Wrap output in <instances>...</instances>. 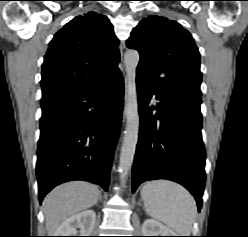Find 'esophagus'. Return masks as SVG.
<instances>
[{
	"mask_svg": "<svg viewBox=\"0 0 248 237\" xmlns=\"http://www.w3.org/2000/svg\"><path fill=\"white\" fill-rule=\"evenodd\" d=\"M124 119H125V110H124Z\"/></svg>",
	"mask_w": 248,
	"mask_h": 237,
	"instance_id": "1",
	"label": "esophagus"
}]
</instances>
